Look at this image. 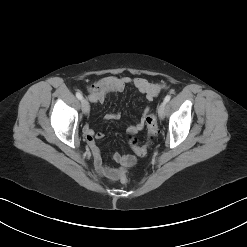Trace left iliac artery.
Returning <instances> with one entry per match:
<instances>
[{
    "instance_id": "obj_1",
    "label": "left iliac artery",
    "mask_w": 247,
    "mask_h": 247,
    "mask_svg": "<svg viewBox=\"0 0 247 247\" xmlns=\"http://www.w3.org/2000/svg\"><path fill=\"white\" fill-rule=\"evenodd\" d=\"M170 99H171V96H170V95H167V96L165 97V99H164V102H165V103H168V102L170 101Z\"/></svg>"
}]
</instances>
